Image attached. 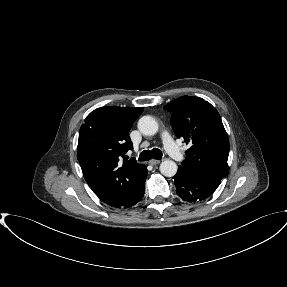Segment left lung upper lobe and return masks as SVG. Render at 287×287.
<instances>
[{
  "instance_id": "5c2ea615",
  "label": "left lung upper lobe",
  "mask_w": 287,
  "mask_h": 287,
  "mask_svg": "<svg viewBox=\"0 0 287 287\" xmlns=\"http://www.w3.org/2000/svg\"><path fill=\"white\" fill-rule=\"evenodd\" d=\"M172 113L171 125L177 137L191 147L178 170L196 179L221 181L229 166V140L218 111L199 97L182 96L164 106Z\"/></svg>"
}]
</instances>
